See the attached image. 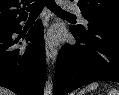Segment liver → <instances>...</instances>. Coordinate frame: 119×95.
I'll list each match as a JSON object with an SVG mask.
<instances>
[{
	"mask_svg": "<svg viewBox=\"0 0 119 95\" xmlns=\"http://www.w3.org/2000/svg\"><path fill=\"white\" fill-rule=\"evenodd\" d=\"M0 95H13V92L5 88L0 87Z\"/></svg>",
	"mask_w": 119,
	"mask_h": 95,
	"instance_id": "obj_1",
	"label": "liver"
}]
</instances>
